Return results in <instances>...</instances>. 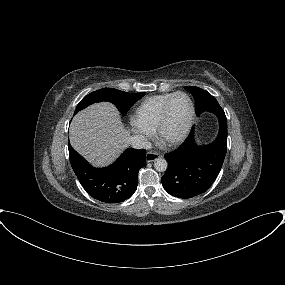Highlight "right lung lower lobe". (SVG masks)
Here are the masks:
<instances>
[{
    "label": "right lung lower lobe",
    "instance_id": "obj_1",
    "mask_svg": "<svg viewBox=\"0 0 285 285\" xmlns=\"http://www.w3.org/2000/svg\"><path fill=\"white\" fill-rule=\"evenodd\" d=\"M70 163L78 180L93 198L119 203L130 198L138 184V172L146 165V151L127 149L112 165L92 167L68 142Z\"/></svg>",
    "mask_w": 285,
    "mask_h": 285
}]
</instances>
